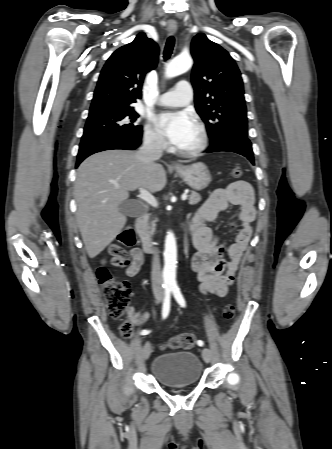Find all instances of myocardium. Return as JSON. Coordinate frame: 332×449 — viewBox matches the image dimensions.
<instances>
[{"instance_id":"f54148a6","label":"myocardium","mask_w":332,"mask_h":449,"mask_svg":"<svg viewBox=\"0 0 332 449\" xmlns=\"http://www.w3.org/2000/svg\"><path fill=\"white\" fill-rule=\"evenodd\" d=\"M196 130L198 133V140L195 145H193L190 148H180L178 149V152L184 156H197L201 154L208 146V134L205 129V127L197 123L196 124Z\"/></svg>"}]
</instances>
